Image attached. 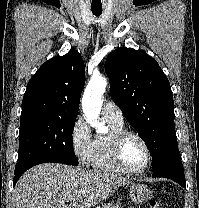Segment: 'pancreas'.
<instances>
[{"instance_id":"cf45deb5","label":"pancreas","mask_w":199,"mask_h":208,"mask_svg":"<svg viewBox=\"0 0 199 208\" xmlns=\"http://www.w3.org/2000/svg\"><path fill=\"white\" fill-rule=\"evenodd\" d=\"M97 208H122L119 203H108L107 205H103L102 207Z\"/></svg>"}]
</instances>
